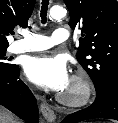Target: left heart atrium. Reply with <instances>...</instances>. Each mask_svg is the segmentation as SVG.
Segmentation results:
<instances>
[{
    "label": "left heart atrium",
    "instance_id": "left-heart-atrium-1",
    "mask_svg": "<svg viewBox=\"0 0 118 123\" xmlns=\"http://www.w3.org/2000/svg\"><path fill=\"white\" fill-rule=\"evenodd\" d=\"M24 70L28 79L42 88L60 92L70 84L66 63L60 57H31L27 60Z\"/></svg>",
    "mask_w": 118,
    "mask_h": 123
}]
</instances>
